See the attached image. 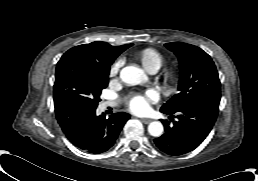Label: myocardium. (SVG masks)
Wrapping results in <instances>:
<instances>
[{
  "label": "myocardium",
  "mask_w": 258,
  "mask_h": 181,
  "mask_svg": "<svg viewBox=\"0 0 258 181\" xmlns=\"http://www.w3.org/2000/svg\"><path fill=\"white\" fill-rule=\"evenodd\" d=\"M175 79V73L174 72H168L164 75V81L165 82H172Z\"/></svg>",
  "instance_id": "obj_1"
}]
</instances>
